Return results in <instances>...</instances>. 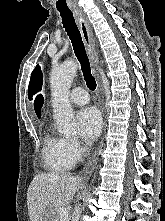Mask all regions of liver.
<instances>
[{
  "instance_id": "6515ba94",
  "label": "liver",
  "mask_w": 165,
  "mask_h": 221,
  "mask_svg": "<svg viewBox=\"0 0 165 221\" xmlns=\"http://www.w3.org/2000/svg\"><path fill=\"white\" fill-rule=\"evenodd\" d=\"M79 187V178L66 173H40L27 191L28 214L38 221L48 208H62L70 203Z\"/></svg>"
}]
</instances>
